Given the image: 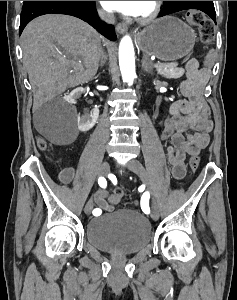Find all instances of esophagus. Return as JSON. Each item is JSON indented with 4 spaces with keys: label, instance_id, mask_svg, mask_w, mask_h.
Here are the masks:
<instances>
[{
    "label": "esophagus",
    "instance_id": "34e87169",
    "mask_svg": "<svg viewBox=\"0 0 237 300\" xmlns=\"http://www.w3.org/2000/svg\"><path fill=\"white\" fill-rule=\"evenodd\" d=\"M127 25L124 23H118L116 26L117 33L123 34L125 31H127Z\"/></svg>",
    "mask_w": 237,
    "mask_h": 300
}]
</instances>
